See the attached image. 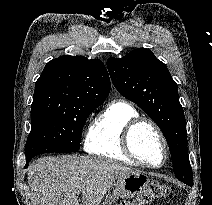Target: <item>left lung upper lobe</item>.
I'll list each match as a JSON object with an SVG mask.
<instances>
[{
    "mask_svg": "<svg viewBox=\"0 0 212 205\" xmlns=\"http://www.w3.org/2000/svg\"><path fill=\"white\" fill-rule=\"evenodd\" d=\"M107 68L120 94L137 104L162 130L169 145L176 178L193 184L186 120L177 84L167 66L149 49L139 48L122 58H109Z\"/></svg>",
    "mask_w": 212,
    "mask_h": 205,
    "instance_id": "1",
    "label": "left lung upper lobe"
}]
</instances>
